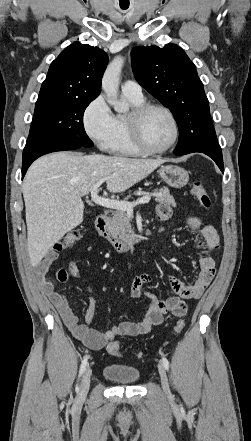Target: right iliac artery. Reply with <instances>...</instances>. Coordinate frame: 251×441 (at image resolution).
<instances>
[{"instance_id": "obj_1", "label": "right iliac artery", "mask_w": 251, "mask_h": 441, "mask_svg": "<svg viewBox=\"0 0 251 441\" xmlns=\"http://www.w3.org/2000/svg\"><path fill=\"white\" fill-rule=\"evenodd\" d=\"M87 360H88V357L86 356V357H84V359H83V361L81 363L80 370H79V378L81 377V375L85 371V368H86V365H87ZM76 388H77V386H76Z\"/></svg>"}]
</instances>
